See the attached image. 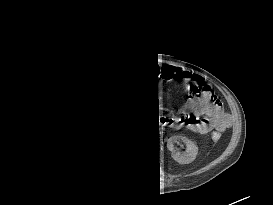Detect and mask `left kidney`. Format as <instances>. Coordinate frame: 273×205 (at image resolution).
Masks as SVG:
<instances>
[{"label": "left kidney", "mask_w": 273, "mask_h": 205, "mask_svg": "<svg viewBox=\"0 0 273 205\" xmlns=\"http://www.w3.org/2000/svg\"><path fill=\"white\" fill-rule=\"evenodd\" d=\"M183 143L185 151H180L175 144ZM167 148L171 152L172 158L180 164L193 162L198 154V147L191 139L183 135H175L168 139Z\"/></svg>", "instance_id": "5707ae66"}]
</instances>
